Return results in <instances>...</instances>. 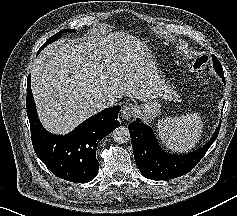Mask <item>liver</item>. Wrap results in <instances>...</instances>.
<instances>
[{"label": "liver", "mask_w": 237, "mask_h": 216, "mask_svg": "<svg viewBox=\"0 0 237 216\" xmlns=\"http://www.w3.org/2000/svg\"><path fill=\"white\" fill-rule=\"evenodd\" d=\"M112 35L61 38L48 45L31 68V89L39 119L49 132L67 134L102 110L101 96L142 101L158 79L141 65H121Z\"/></svg>", "instance_id": "obj_1"}]
</instances>
